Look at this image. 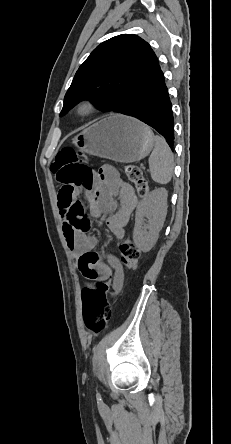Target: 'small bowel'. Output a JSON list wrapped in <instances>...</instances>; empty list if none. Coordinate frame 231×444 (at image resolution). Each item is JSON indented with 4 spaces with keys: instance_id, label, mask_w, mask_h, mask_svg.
Here are the masks:
<instances>
[{
    "instance_id": "c3829d8e",
    "label": "small bowel",
    "mask_w": 231,
    "mask_h": 444,
    "mask_svg": "<svg viewBox=\"0 0 231 444\" xmlns=\"http://www.w3.org/2000/svg\"><path fill=\"white\" fill-rule=\"evenodd\" d=\"M83 189L89 197L91 214L94 217L107 216L108 229L121 239L137 201L132 186L121 178L114 167L106 165L99 169L91 184L83 186ZM77 197L76 188L65 186L58 194L63 232L69 248L76 256L78 271L86 287H91L95 281L113 277L115 289L119 291L123 284L121 260L113 254H106L107 260L103 261L102 256L94 250L95 240L75 228L71 209L78 202Z\"/></svg>"
}]
</instances>
